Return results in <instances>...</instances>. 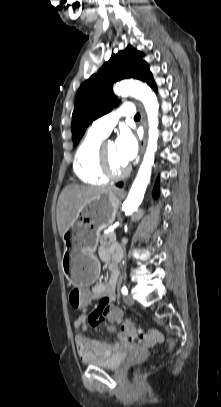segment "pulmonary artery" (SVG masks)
Wrapping results in <instances>:
<instances>
[{"label":"pulmonary artery","instance_id":"pulmonary-artery-1","mask_svg":"<svg viewBox=\"0 0 221 407\" xmlns=\"http://www.w3.org/2000/svg\"><path fill=\"white\" fill-rule=\"evenodd\" d=\"M135 113L136 110L134 105L131 103H125L117 110L96 119L92 123L90 130L103 136H107L111 132L113 127L117 124L120 117H131L134 116Z\"/></svg>","mask_w":221,"mask_h":407}]
</instances>
